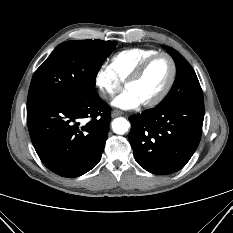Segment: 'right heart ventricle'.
I'll list each match as a JSON object with an SVG mask.
<instances>
[{
	"label": "right heart ventricle",
	"instance_id": "right-heart-ventricle-1",
	"mask_svg": "<svg viewBox=\"0 0 233 233\" xmlns=\"http://www.w3.org/2000/svg\"><path fill=\"white\" fill-rule=\"evenodd\" d=\"M157 53V50L147 48L124 50L111 58L108 67L118 81L123 83L144 60Z\"/></svg>",
	"mask_w": 233,
	"mask_h": 233
}]
</instances>
